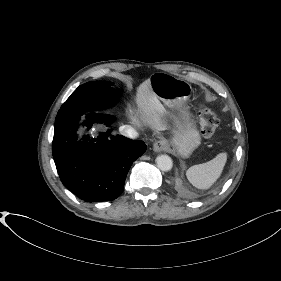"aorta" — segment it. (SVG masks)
<instances>
[{
	"label": "aorta",
	"mask_w": 281,
	"mask_h": 281,
	"mask_svg": "<svg viewBox=\"0 0 281 281\" xmlns=\"http://www.w3.org/2000/svg\"><path fill=\"white\" fill-rule=\"evenodd\" d=\"M157 167L161 171H170L173 167L172 159L168 155H159L156 158Z\"/></svg>",
	"instance_id": "1"
}]
</instances>
